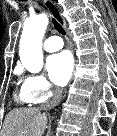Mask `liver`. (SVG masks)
Here are the masks:
<instances>
[{
  "label": "liver",
  "instance_id": "1",
  "mask_svg": "<svg viewBox=\"0 0 117 136\" xmlns=\"http://www.w3.org/2000/svg\"><path fill=\"white\" fill-rule=\"evenodd\" d=\"M41 108H19L10 111L4 120L1 136H42L47 124Z\"/></svg>",
  "mask_w": 117,
  "mask_h": 136
}]
</instances>
